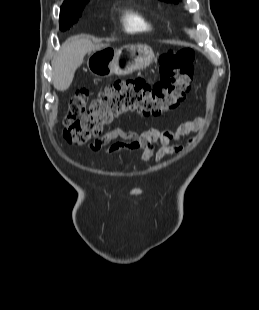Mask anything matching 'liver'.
Instances as JSON below:
<instances>
[{
  "mask_svg": "<svg viewBox=\"0 0 259 310\" xmlns=\"http://www.w3.org/2000/svg\"><path fill=\"white\" fill-rule=\"evenodd\" d=\"M104 46L106 45H95L84 37H74L65 41L61 51L52 61L54 88L66 91L73 81L75 71L83 63L84 56Z\"/></svg>",
  "mask_w": 259,
  "mask_h": 310,
  "instance_id": "6515ba94",
  "label": "liver"
}]
</instances>
